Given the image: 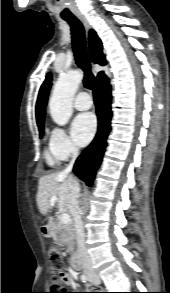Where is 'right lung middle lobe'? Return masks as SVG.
Segmentation results:
<instances>
[{
    "label": "right lung middle lobe",
    "mask_w": 170,
    "mask_h": 293,
    "mask_svg": "<svg viewBox=\"0 0 170 293\" xmlns=\"http://www.w3.org/2000/svg\"><path fill=\"white\" fill-rule=\"evenodd\" d=\"M39 132H40V137H41L43 135V127L42 126L39 127Z\"/></svg>",
    "instance_id": "obj_1"
}]
</instances>
